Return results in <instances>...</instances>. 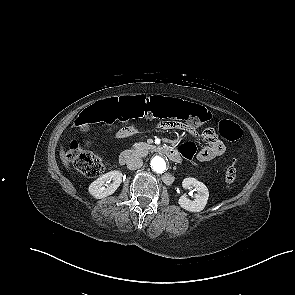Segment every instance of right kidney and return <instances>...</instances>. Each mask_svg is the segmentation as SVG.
<instances>
[{
	"label": "right kidney",
	"instance_id": "right-kidney-1",
	"mask_svg": "<svg viewBox=\"0 0 295 295\" xmlns=\"http://www.w3.org/2000/svg\"><path fill=\"white\" fill-rule=\"evenodd\" d=\"M123 174L113 170L93 181L88 191L96 199H101L113 194L122 182ZM106 186V187H105Z\"/></svg>",
	"mask_w": 295,
	"mask_h": 295
}]
</instances>
